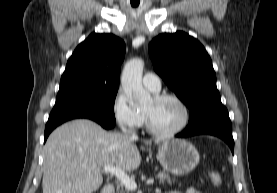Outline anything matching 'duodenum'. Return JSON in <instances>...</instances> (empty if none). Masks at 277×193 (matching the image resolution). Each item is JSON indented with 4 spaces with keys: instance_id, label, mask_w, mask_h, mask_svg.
<instances>
[{
    "instance_id": "1",
    "label": "duodenum",
    "mask_w": 277,
    "mask_h": 193,
    "mask_svg": "<svg viewBox=\"0 0 277 193\" xmlns=\"http://www.w3.org/2000/svg\"><path fill=\"white\" fill-rule=\"evenodd\" d=\"M114 185L112 184H107L103 187L101 193H114Z\"/></svg>"
}]
</instances>
